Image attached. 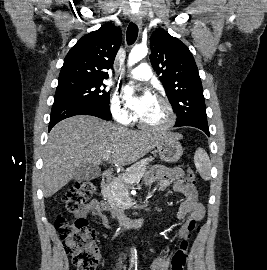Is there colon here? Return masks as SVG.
Segmentation results:
<instances>
[{
	"label": "colon",
	"mask_w": 267,
	"mask_h": 270,
	"mask_svg": "<svg viewBox=\"0 0 267 270\" xmlns=\"http://www.w3.org/2000/svg\"><path fill=\"white\" fill-rule=\"evenodd\" d=\"M185 182L195 185L196 175L192 168L186 171ZM97 191V185L92 180L78 182L62 198L65 209L75 212L79 207L90 200ZM55 228L63 242L67 254L78 270H95L99 253L94 231L88 227L87 220L74 219L72 221L59 215L55 220ZM197 221L192 220L189 231H198ZM189 238L185 239L171 257L170 270H184L189 250Z\"/></svg>",
	"instance_id": "colon-1"
}]
</instances>
